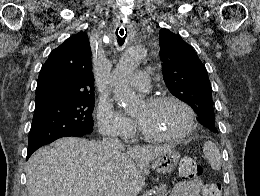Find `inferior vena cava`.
Wrapping results in <instances>:
<instances>
[{"label":"inferior vena cava","mask_w":260,"mask_h":196,"mask_svg":"<svg viewBox=\"0 0 260 196\" xmlns=\"http://www.w3.org/2000/svg\"><path fill=\"white\" fill-rule=\"evenodd\" d=\"M102 146H105L109 152H113V154H117V152H123L124 146L121 144L118 138H103Z\"/></svg>","instance_id":"1"}]
</instances>
